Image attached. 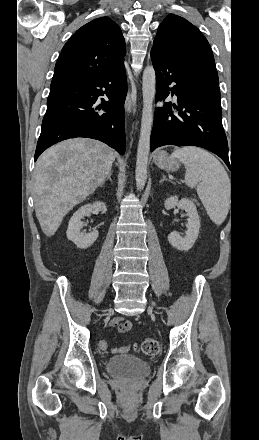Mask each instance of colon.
<instances>
[{"mask_svg":"<svg viewBox=\"0 0 259 440\" xmlns=\"http://www.w3.org/2000/svg\"><path fill=\"white\" fill-rule=\"evenodd\" d=\"M159 349H160L159 342L153 338L145 339L139 347V350L143 354L150 356L156 355L159 352Z\"/></svg>","mask_w":259,"mask_h":440,"instance_id":"obj_1","label":"colon"}]
</instances>
